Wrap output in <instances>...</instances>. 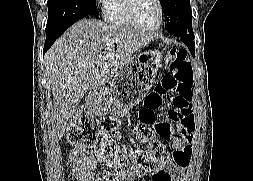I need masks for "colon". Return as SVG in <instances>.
Listing matches in <instances>:
<instances>
[{"label": "colon", "mask_w": 253, "mask_h": 181, "mask_svg": "<svg viewBox=\"0 0 253 181\" xmlns=\"http://www.w3.org/2000/svg\"><path fill=\"white\" fill-rule=\"evenodd\" d=\"M171 55V73L164 75L155 90L145 99V106L139 112L138 137L146 143L145 149L130 150L117 144L105 134L99 121L86 112H78L69 127V142L81 151L97 155L103 162L118 168L143 173L150 167H159L170 159V150L161 139L175 141L177 134L172 123L158 121L157 111L165 101L172 108L168 117L175 124L191 116L193 71L187 58V50L167 47ZM174 153V148L172 146ZM173 157V155H172Z\"/></svg>", "instance_id": "5ec220e1"}]
</instances>
